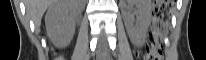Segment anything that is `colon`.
I'll return each instance as SVG.
<instances>
[{"label":"colon","instance_id":"obj_1","mask_svg":"<svg viewBox=\"0 0 206 60\" xmlns=\"http://www.w3.org/2000/svg\"><path fill=\"white\" fill-rule=\"evenodd\" d=\"M172 6L171 0H156L152 9V23L150 25V40L147 58L161 59V40L168 29V16Z\"/></svg>","mask_w":206,"mask_h":60}]
</instances>
